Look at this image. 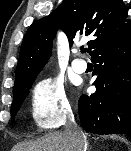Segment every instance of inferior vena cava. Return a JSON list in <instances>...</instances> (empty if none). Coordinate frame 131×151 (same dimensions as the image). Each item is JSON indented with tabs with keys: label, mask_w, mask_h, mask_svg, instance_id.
Returning <instances> with one entry per match:
<instances>
[{
	"label": "inferior vena cava",
	"mask_w": 131,
	"mask_h": 151,
	"mask_svg": "<svg viewBox=\"0 0 131 151\" xmlns=\"http://www.w3.org/2000/svg\"><path fill=\"white\" fill-rule=\"evenodd\" d=\"M65 133L69 136L71 142L76 148V151H86V136L77 126L73 115L68 116V120L65 125Z\"/></svg>",
	"instance_id": "inferior-vena-cava-1"
}]
</instances>
